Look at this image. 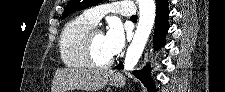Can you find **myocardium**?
<instances>
[{
	"label": "myocardium",
	"mask_w": 225,
	"mask_h": 92,
	"mask_svg": "<svg viewBox=\"0 0 225 92\" xmlns=\"http://www.w3.org/2000/svg\"><path fill=\"white\" fill-rule=\"evenodd\" d=\"M102 32L98 28H91L85 35L83 40V52L89 66L97 69H105L110 67L114 60L110 59L105 63H99L93 54V37L96 33Z\"/></svg>",
	"instance_id": "myocardium-1"
}]
</instances>
